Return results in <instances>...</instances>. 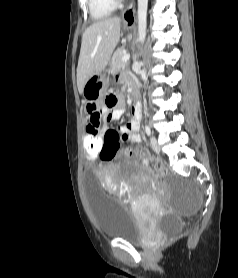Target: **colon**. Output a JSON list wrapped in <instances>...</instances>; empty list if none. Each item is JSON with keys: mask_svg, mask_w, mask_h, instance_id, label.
Segmentation results:
<instances>
[{"mask_svg": "<svg viewBox=\"0 0 238 278\" xmlns=\"http://www.w3.org/2000/svg\"><path fill=\"white\" fill-rule=\"evenodd\" d=\"M106 100H117V98L114 95H109L106 97ZM94 107L95 104L89 105L88 113ZM82 141L84 156L87 162H98L99 159L113 161L122 153L120 144L115 141L104 144V137H83ZM153 166L159 175L165 176L167 174L165 164L161 160L155 159Z\"/></svg>", "mask_w": 238, "mask_h": 278, "instance_id": "obj_1", "label": "colon"}]
</instances>
